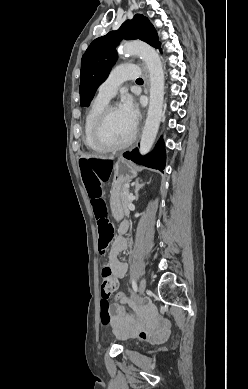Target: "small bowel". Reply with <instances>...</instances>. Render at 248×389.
<instances>
[{"label": "small bowel", "mask_w": 248, "mask_h": 389, "mask_svg": "<svg viewBox=\"0 0 248 389\" xmlns=\"http://www.w3.org/2000/svg\"><path fill=\"white\" fill-rule=\"evenodd\" d=\"M128 224L123 222L119 226V233L127 231ZM128 243L121 235L117 236L109 251V264L112 272L117 278H125L128 265L119 260V254L127 249ZM125 305L130 306L136 313L135 319L130 317L125 309ZM111 326L115 333L123 338L138 337L148 342H158L163 340L169 332L168 323L158 318L154 311L147 306L137 304L134 300L128 299L113 303L110 306Z\"/></svg>", "instance_id": "obj_1"}]
</instances>
